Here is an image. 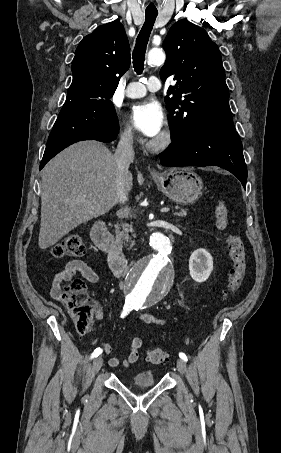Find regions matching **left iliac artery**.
<instances>
[{"label":"left iliac artery","mask_w":281,"mask_h":453,"mask_svg":"<svg viewBox=\"0 0 281 453\" xmlns=\"http://www.w3.org/2000/svg\"><path fill=\"white\" fill-rule=\"evenodd\" d=\"M133 309H135L136 311H138L139 309H142L141 306H133ZM179 357L184 360V361H187V356L184 354V353H179Z\"/></svg>","instance_id":"left-iliac-artery-1"}]
</instances>
